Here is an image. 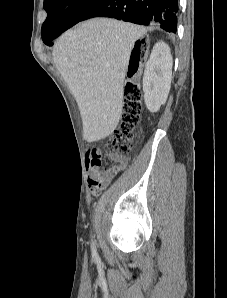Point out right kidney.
<instances>
[{
    "mask_svg": "<svg viewBox=\"0 0 227 298\" xmlns=\"http://www.w3.org/2000/svg\"><path fill=\"white\" fill-rule=\"evenodd\" d=\"M172 65L170 47L165 42L159 41L152 49L143 76L144 101L150 112H157L167 100Z\"/></svg>",
    "mask_w": 227,
    "mask_h": 298,
    "instance_id": "1",
    "label": "right kidney"
}]
</instances>
